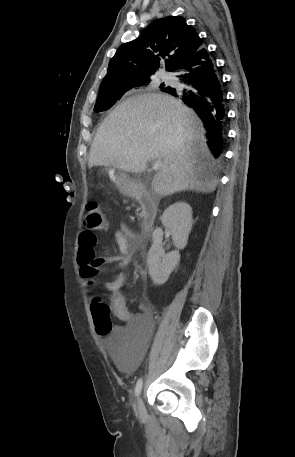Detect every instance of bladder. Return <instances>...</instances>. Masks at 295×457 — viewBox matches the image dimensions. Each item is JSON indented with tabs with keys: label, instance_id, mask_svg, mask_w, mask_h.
<instances>
[{
	"label": "bladder",
	"instance_id": "31cf9c89",
	"mask_svg": "<svg viewBox=\"0 0 295 457\" xmlns=\"http://www.w3.org/2000/svg\"><path fill=\"white\" fill-rule=\"evenodd\" d=\"M148 338H106L105 346L111 347L116 366L122 371H129L135 365H141Z\"/></svg>",
	"mask_w": 295,
	"mask_h": 457
}]
</instances>
